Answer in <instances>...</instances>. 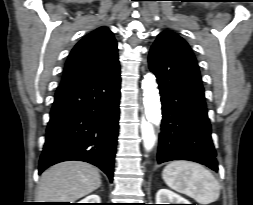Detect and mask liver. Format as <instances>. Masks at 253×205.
I'll return each instance as SVG.
<instances>
[{
  "label": "liver",
  "mask_w": 253,
  "mask_h": 205,
  "mask_svg": "<svg viewBox=\"0 0 253 205\" xmlns=\"http://www.w3.org/2000/svg\"><path fill=\"white\" fill-rule=\"evenodd\" d=\"M100 185L101 176L96 167L81 161L63 162L42 173L37 200L73 203Z\"/></svg>",
  "instance_id": "1"
}]
</instances>
